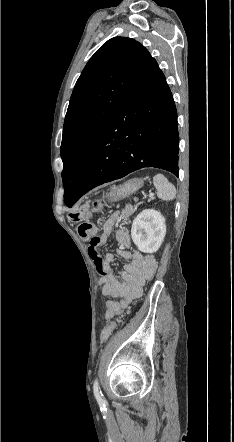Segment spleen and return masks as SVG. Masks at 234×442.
<instances>
[{
	"label": "spleen",
	"instance_id": "spleen-1",
	"mask_svg": "<svg viewBox=\"0 0 234 442\" xmlns=\"http://www.w3.org/2000/svg\"><path fill=\"white\" fill-rule=\"evenodd\" d=\"M153 184L157 189V196L162 200H173L176 197L175 186L168 179L158 173L153 177Z\"/></svg>",
	"mask_w": 234,
	"mask_h": 442
}]
</instances>
